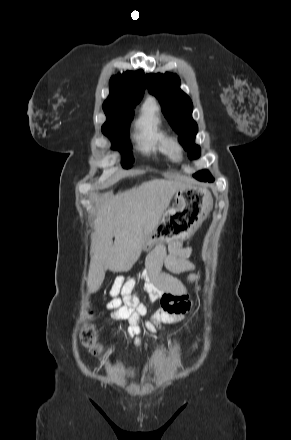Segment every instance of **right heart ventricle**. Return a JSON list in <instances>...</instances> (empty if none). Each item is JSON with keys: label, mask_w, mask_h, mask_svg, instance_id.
<instances>
[{"label": "right heart ventricle", "mask_w": 291, "mask_h": 440, "mask_svg": "<svg viewBox=\"0 0 291 440\" xmlns=\"http://www.w3.org/2000/svg\"><path fill=\"white\" fill-rule=\"evenodd\" d=\"M134 138L138 149L153 156H168L169 139L162 126L159 109L153 99H148L134 124Z\"/></svg>", "instance_id": "1"}]
</instances>
